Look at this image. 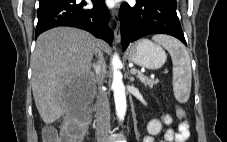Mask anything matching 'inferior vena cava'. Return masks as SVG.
Here are the masks:
<instances>
[{
    "label": "inferior vena cava",
    "mask_w": 227,
    "mask_h": 142,
    "mask_svg": "<svg viewBox=\"0 0 227 142\" xmlns=\"http://www.w3.org/2000/svg\"><path fill=\"white\" fill-rule=\"evenodd\" d=\"M94 71L95 81L99 85L96 102L97 141L107 142L110 132V104L107 93L101 88L106 72V65L103 56L96 64H94Z\"/></svg>",
    "instance_id": "inferior-vena-cava-1"
}]
</instances>
